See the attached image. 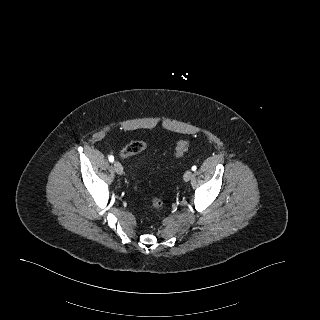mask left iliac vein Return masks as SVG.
<instances>
[{
    "label": "left iliac vein",
    "instance_id": "1",
    "mask_svg": "<svg viewBox=\"0 0 320 320\" xmlns=\"http://www.w3.org/2000/svg\"><path fill=\"white\" fill-rule=\"evenodd\" d=\"M192 177V171L191 170H187L185 173H184V176H183V179L184 181H189Z\"/></svg>",
    "mask_w": 320,
    "mask_h": 320
}]
</instances>
